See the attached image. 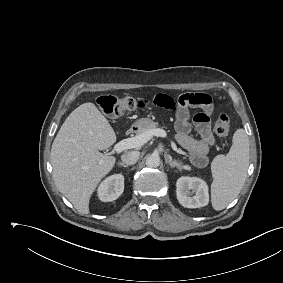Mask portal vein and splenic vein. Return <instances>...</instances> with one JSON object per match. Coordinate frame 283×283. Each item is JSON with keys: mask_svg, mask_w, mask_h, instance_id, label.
Listing matches in <instances>:
<instances>
[{"mask_svg": "<svg viewBox=\"0 0 283 283\" xmlns=\"http://www.w3.org/2000/svg\"><path fill=\"white\" fill-rule=\"evenodd\" d=\"M153 136L165 138L167 137V133L165 130L160 128L149 130L135 137L127 138L118 142L114 145L113 151L116 153H121L127 149L138 148L149 141Z\"/></svg>", "mask_w": 283, "mask_h": 283, "instance_id": "18ae733b", "label": "portal vein and splenic vein"}]
</instances>
